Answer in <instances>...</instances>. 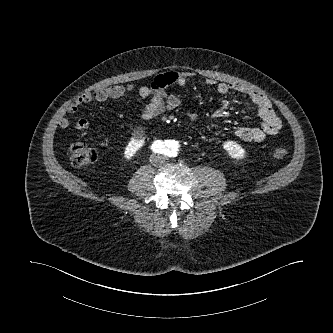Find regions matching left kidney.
Returning <instances> with one entry per match:
<instances>
[{
	"instance_id": "1",
	"label": "left kidney",
	"mask_w": 333,
	"mask_h": 333,
	"mask_svg": "<svg viewBox=\"0 0 333 333\" xmlns=\"http://www.w3.org/2000/svg\"><path fill=\"white\" fill-rule=\"evenodd\" d=\"M223 147L232 158L243 159L245 157V150L236 142L227 141Z\"/></svg>"
}]
</instances>
